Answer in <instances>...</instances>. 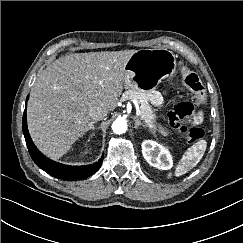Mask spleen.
Listing matches in <instances>:
<instances>
[{
	"mask_svg": "<svg viewBox=\"0 0 243 243\" xmlns=\"http://www.w3.org/2000/svg\"><path fill=\"white\" fill-rule=\"evenodd\" d=\"M206 147L207 142L205 140H199L190 148H188L176 167L175 175L181 176L194 168L202 159ZM168 177H171V174H169Z\"/></svg>",
	"mask_w": 243,
	"mask_h": 243,
	"instance_id": "3e777b00",
	"label": "spleen"
}]
</instances>
